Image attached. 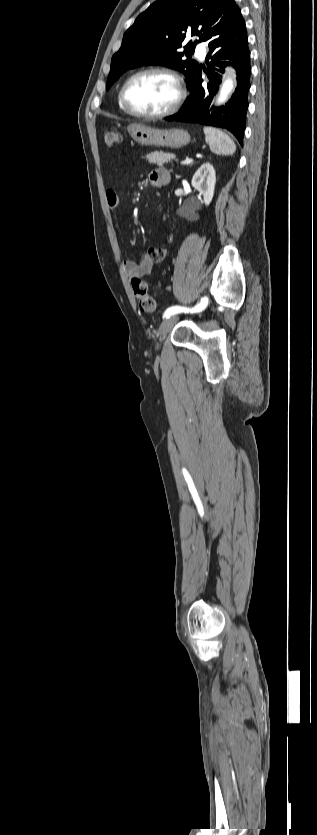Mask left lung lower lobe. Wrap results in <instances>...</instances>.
<instances>
[{
	"label": "left lung lower lobe",
	"instance_id": "1",
	"mask_svg": "<svg viewBox=\"0 0 317 835\" xmlns=\"http://www.w3.org/2000/svg\"><path fill=\"white\" fill-rule=\"evenodd\" d=\"M247 40L245 21L240 9L234 0H229L221 26L207 41L209 52L206 61L211 59L208 63V70L203 68L209 78L207 86H202V66H199L192 80L187 84L190 96L182 109L165 119L225 128L232 132L243 146V131L248 108L247 95L250 88V51ZM225 59L232 60L233 63H228L224 61ZM227 65H233L237 71L238 85L235 94L224 107L215 108L210 113L211 100L218 84L221 83V77Z\"/></svg>",
	"mask_w": 317,
	"mask_h": 835
}]
</instances>
